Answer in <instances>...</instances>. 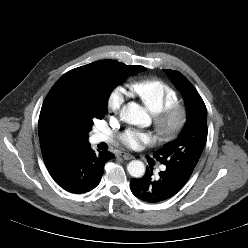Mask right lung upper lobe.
<instances>
[{
  "label": "right lung upper lobe",
  "mask_w": 248,
  "mask_h": 248,
  "mask_svg": "<svg viewBox=\"0 0 248 248\" xmlns=\"http://www.w3.org/2000/svg\"><path fill=\"white\" fill-rule=\"evenodd\" d=\"M38 130L46 166L74 148L88 144V140L75 126L55 119L42 109L39 116Z\"/></svg>",
  "instance_id": "obj_1"
}]
</instances>
